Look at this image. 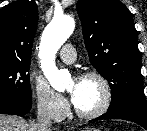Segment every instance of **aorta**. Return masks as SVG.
I'll return each instance as SVG.
<instances>
[{"label": "aorta", "instance_id": "obj_1", "mask_svg": "<svg viewBox=\"0 0 147 131\" xmlns=\"http://www.w3.org/2000/svg\"><path fill=\"white\" fill-rule=\"evenodd\" d=\"M75 27L71 16L55 17L42 34L39 45L41 68L51 87L63 91L71 80L70 73L65 69H58L55 65V54L70 37Z\"/></svg>", "mask_w": 147, "mask_h": 131}]
</instances>
